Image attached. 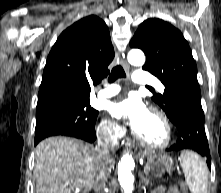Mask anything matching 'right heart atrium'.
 I'll return each instance as SVG.
<instances>
[{
    "label": "right heart atrium",
    "instance_id": "right-heart-atrium-1",
    "mask_svg": "<svg viewBox=\"0 0 221 193\" xmlns=\"http://www.w3.org/2000/svg\"><path fill=\"white\" fill-rule=\"evenodd\" d=\"M98 135L102 140L117 142L124 136L123 128L108 117H103L98 124Z\"/></svg>",
    "mask_w": 221,
    "mask_h": 193
}]
</instances>
